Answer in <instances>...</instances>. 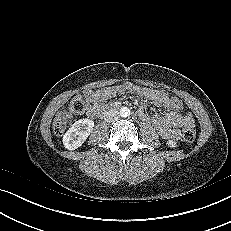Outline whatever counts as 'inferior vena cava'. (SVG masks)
Returning a JSON list of instances; mask_svg holds the SVG:
<instances>
[{"label": "inferior vena cava", "mask_w": 231, "mask_h": 231, "mask_svg": "<svg viewBox=\"0 0 231 231\" xmlns=\"http://www.w3.org/2000/svg\"><path fill=\"white\" fill-rule=\"evenodd\" d=\"M120 118V114L115 109H109L108 111L104 112V120L107 122H114Z\"/></svg>", "instance_id": "602c4592"}]
</instances>
